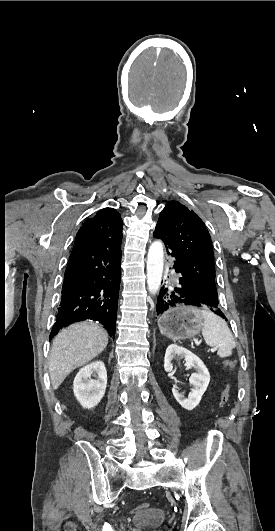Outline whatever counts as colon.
<instances>
[{"instance_id":"1","label":"colon","mask_w":275,"mask_h":531,"mask_svg":"<svg viewBox=\"0 0 275 531\" xmlns=\"http://www.w3.org/2000/svg\"><path fill=\"white\" fill-rule=\"evenodd\" d=\"M224 366L226 370L232 371L236 368V362L232 359H228L225 361ZM231 400V397L229 395V388L228 386L224 387L221 392L220 397V405L227 406ZM148 509V504L146 503H140L138 506L135 507L136 512H144Z\"/></svg>"}]
</instances>
